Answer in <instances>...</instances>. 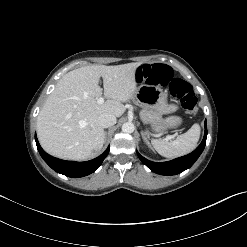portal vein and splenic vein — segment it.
<instances>
[{
	"instance_id": "1",
	"label": "portal vein and splenic vein",
	"mask_w": 247,
	"mask_h": 247,
	"mask_svg": "<svg viewBox=\"0 0 247 247\" xmlns=\"http://www.w3.org/2000/svg\"><path fill=\"white\" fill-rule=\"evenodd\" d=\"M97 103H98V104H103V103H104V98H103V97H99V98L97 99Z\"/></svg>"
}]
</instances>
